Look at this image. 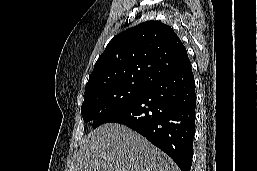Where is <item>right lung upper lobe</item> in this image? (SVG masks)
Segmentation results:
<instances>
[{"mask_svg":"<svg viewBox=\"0 0 257 171\" xmlns=\"http://www.w3.org/2000/svg\"><path fill=\"white\" fill-rule=\"evenodd\" d=\"M189 63L186 48L174 30L159 21H147L109 42L85 91L115 83L149 85Z\"/></svg>","mask_w":257,"mask_h":171,"instance_id":"obj_1","label":"right lung upper lobe"}]
</instances>
